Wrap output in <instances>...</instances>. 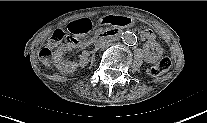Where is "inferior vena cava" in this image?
<instances>
[{
	"label": "inferior vena cava",
	"instance_id": "602c4592",
	"mask_svg": "<svg viewBox=\"0 0 207 123\" xmlns=\"http://www.w3.org/2000/svg\"><path fill=\"white\" fill-rule=\"evenodd\" d=\"M109 45L108 41L102 40L97 44L98 48H106Z\"/></svg>",
	"mask_w": 207,
	"mask_h": 123
}]
</instances>
